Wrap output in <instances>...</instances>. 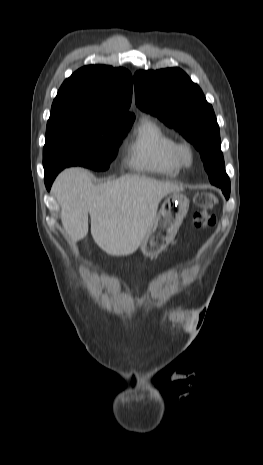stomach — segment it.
Returning <instances> with one entry per match:
<instances>
[{"label":"stomach","mask_w":263,"mask_h":465,"mask_svg":"<svg viewBox=\"0 0 263 465\" xmlns=\"http://www.w3.org/2000/svg\"><path fill=\"white\" fill-rule=\"evenodd\" d=\"M188 209L189 200L183 194L167 196L142 239L140 248L145 256H157L172 242Z\"/></svg>","instance_id":"obj_1"}]
</instances>
